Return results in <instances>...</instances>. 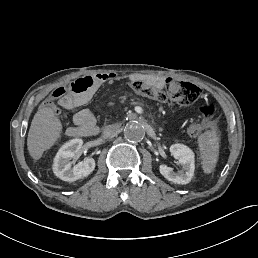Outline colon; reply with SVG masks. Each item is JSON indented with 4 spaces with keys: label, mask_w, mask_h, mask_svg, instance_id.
Returning <instances> with one entry per match:
<instances>
[{
    "label": "colon",
    "mask_w": 258,
    "mask_h": 258,
    "mask_svg": "<svg viewBox=\"0 0 258 258\" xmlns=\"http://www.w3.org/2000/svg\"><path fill=\"white\" fill-rule=\"evenodd\" d=\"M133 89L138 94L163 102L166 100L173 101L180 105H192L200 97L201 90L195 84L186 81H180L173 78H168L165 81V89H159L154 85L147 84L143 81H136L132 84ZM71 84L69 89H71ZM67 89L59 87L52 93L53 98H61L65 95ZM46 106H52V103H46ZM217 110L213 104H205L200 107V119L193 122L188 127V133L191 136H198L207 126L208 121L216 114Z\"/></svg>",
    "instance_id": "obj_1"
}]
</instances>
